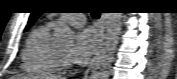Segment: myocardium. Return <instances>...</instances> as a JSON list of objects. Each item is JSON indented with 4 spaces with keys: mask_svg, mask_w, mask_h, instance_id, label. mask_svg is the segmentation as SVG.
Segmentation results:
<instances>
[{
    "mask_svg": "<svg viewBox=\"0 0 177 79\" xmlns=\"http://www.w3.org/2000/svg\"><path fill=\"white\" fill-rule=\"evenodd\" d=\"M59 56L61 59V65L67 68L71 67V61L69 57L66 54H64L61 50H59Z\"/></svg>",
    "mask_w": 177,
    "mask_h": 79,
    "instance_id": "1",
    "label": "myocardium"
}]
</instances>
